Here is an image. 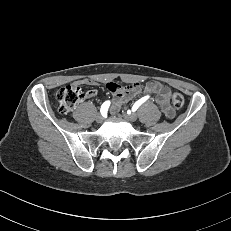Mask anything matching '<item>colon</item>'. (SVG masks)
Returning <instances> with one entry per match:
<instances>
[{"label":"colon","instance_id":"colon-1","mask_svg":"<svg viewBox=\"0 0 231 231\" xmlns=\"http://www.w3.org/2000/svg\"><path fill=\"white\" fill-rule=\"evenodd\" d=\"M84 98V93L77 85H67L60 88L56 93L59 111L63 114L71 112ZM172 102L175 108H182L185 104V99L182 94L174 93Z\"/></svg>","mask_w":231,"mask_h":231}]
</instances>
